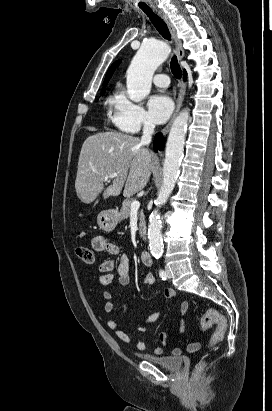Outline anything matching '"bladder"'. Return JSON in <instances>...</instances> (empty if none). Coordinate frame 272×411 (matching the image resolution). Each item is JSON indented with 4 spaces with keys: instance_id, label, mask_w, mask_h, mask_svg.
Masks as SVG:
<instances>
[{
    "instance_id": "1",
    "label": "bladder",
    "mask_w": 272,
    "mask_h": 411,
    "mask_svg": "<svg viewBox=\"0 0 272 411\" xmlns=\"http://www.w3.org/2000/svg\"><path fill=\"white\" fill-rule=\"evenodd\" d=\"M142 358L170 371L179 370L183 364V359L180 356L144 354Z\"/></svg>"
}]
</instances>
